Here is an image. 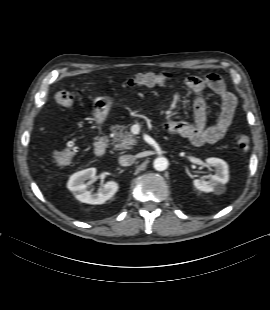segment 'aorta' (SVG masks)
I'll list each match as a JSON object with an SVG mask.
<instances>
[{
  "label": "aorta",
  "instance_id": "1",
  "mask_svg": "<svg viewBox=\"0 0 270 310\" xmlns=\"http://www.w3.org/2000/svg\"><path fill=\"white\" fill-rule=\"evenodd\" d=\"M154 169L164 171L168 167V160L165 157H158L153 162Z\"/></svg>",
  "mask_w": 270,
  "mask_h": 310
}]
</instances>
